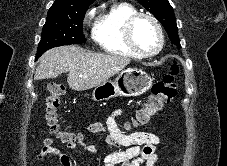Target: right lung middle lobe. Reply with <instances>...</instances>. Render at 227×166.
Instances as JSON below:
<instances>
[{"label":"right lung middle lobe","mask_w":227,"mask_h":166,"mask_svg":"<svg viewBox=\"0 0 227 166\" xmlns=\"http://www.w3.org/2000/svg\"><path fill=\"white\" fill-rule=\"evenodd\" d=\"M86 10L48 12L36 58L53 47L85 43L82 24Z\"/></svg>","instance_id":"dd1d6c3e"}]
</instances>
